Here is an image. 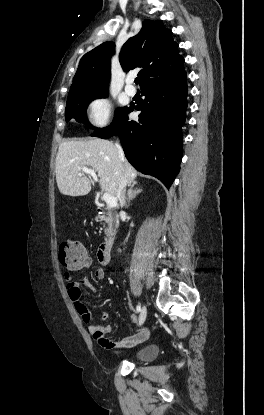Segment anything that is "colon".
Here are the masks:
<instances>
[{"label":"colon","instance_id":"1","mask_svg":"<svg viewBox=\"0 0 264 415\" xmlns=\"http://www.w3.org/2000/svg\"><path fill=\"white\" fill-rule=\"evenodd\" d=\"M58 259L67 270L81 268L89 263V257L81 243L74 240H64L61 243Z\"/></svg>","mask_w":264,"mask_h":415}]
</instances>
